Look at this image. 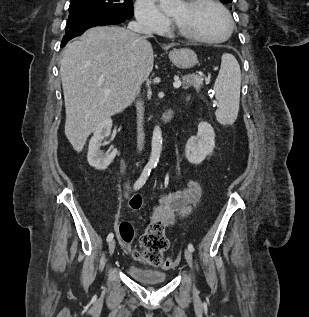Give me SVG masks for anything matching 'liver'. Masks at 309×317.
<instances>
[{"mask_svg":"<svg viewBox=\"0 0 309 317\" xmlns=\"http://www.w3.org/2000/svg\"><path fill=\"white\" fill-rule=\"evenodd\" d=\"M154 63L146 37L118 26L89 29L69 43L61 60L65 135L81 152L105 119L122 112L140 92ZM109 89V93L105 90Z\"/></svg>","mask_w":309,"mask_h":317,"instance_id":"liver-1","label":"liver"}]
</instances>
